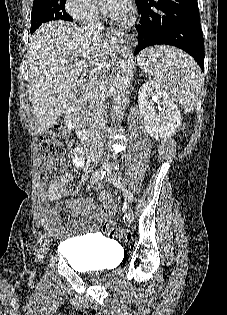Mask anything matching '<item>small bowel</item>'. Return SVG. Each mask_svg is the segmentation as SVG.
<instances>
[{
  "label": "small bowel",
  "mask_w": 227,
  "mask_h": 315,
  "mask_svg": "<svg viewBox=\"0 0 227 315\" xmlns=\"http://www.w3.org/2000/svg\"><path fill=\"white\" fill-rule=\"evenodd\" d=\"M72 163L76 169H82L85 165L84 149L81 146H76L72 150ZM65 160L61 162L62 174L52 181L48 187L39 183L37 186L38 196L43 205L41 214L42 222L46 226H56L59 224L61 217L58 207H49L50 204L56 202L61 196H71L68 186L73 182V175L65 169ZM103 207L106 208V213L102 214L101 208H98L92 200L73 199L71 203V211L75 219L79 217H88L96 219L100 222H105L111 218L116 212V205L109 198L104 200Z\"/></svg>",
  "instance_id": "c3829d8e"
}]
</instances>
